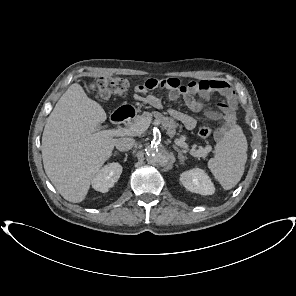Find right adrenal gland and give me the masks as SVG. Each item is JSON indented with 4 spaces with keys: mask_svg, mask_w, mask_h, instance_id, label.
Masks as SVG:
<instances>
[{
    "mask_svg": "<svg viewBox=\"0 0 296 296\" xmlns=\"http://www.w3.org/2000/svg\"><path fill=\"white\" fill-rule=\"evenodd\" d=\"M116 155H119V153H118V152H115V153H114V156H116Z\"/></svg>",
    "mask_w": 296,
    "mask_h": 296,
    "instance_id": "1",
    "label": "right adrenal gland"
}]
</instances>
